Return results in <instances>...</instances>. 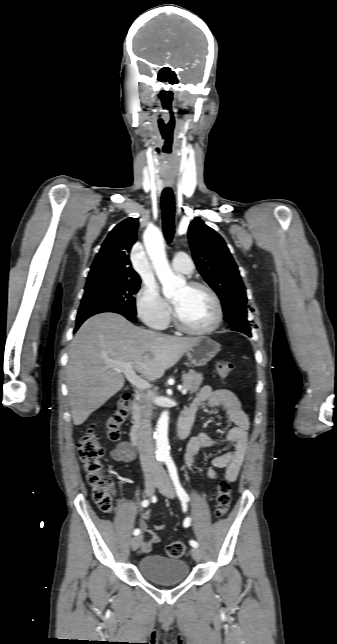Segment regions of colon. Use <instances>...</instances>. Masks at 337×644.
Wrapping results in <instances>:
<instances>
[{"label":"colon","mask_w":337,"mask_h":644,"mask_svg":"<svg viewBox=\"0 0 337 644\" xmlns=\"http://www.w3.org/2000/svg\"><path fill=\"white\" fill-rule=\"evenodd\" d=\"M232 363L220 359L217 362L216 370L220 377L227 378L232 371ZM131 407L128 394H124L116 403L115 409L108 416L105 422L106 435L110 441H118L121 436V426L124 423ZM78 456L83 464L86 480L93 490V500L102 512H109L112 509L113 498L111 493V480L103 472L102 457L104 447L100 443L94 430L90 425L84 429L83 435L77 443ZM231 502V485L223 479L217 485L216 490V516L223 517L229 509ZM186 550L185 544L181 541H174L167 547V554L171 558H180Z\"/></svg>","instance_id":"5ec220e1"}]
</instances>
